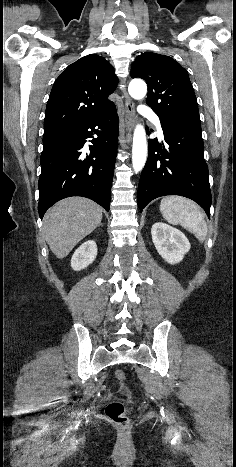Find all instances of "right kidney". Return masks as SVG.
I'll return each instance as SVG.
<instances>
[{
	"label": "right kidney",
	"mask_w": 236,
	"mask_h": 467,
	"mask_svg": "<svg viewBox=\"0 0 236 467\" xmlns=\"http://www.w3.org/2000/svg\"><path fill=\"white\" fill-rule=\"evenodd\" d=\"M96 256L97 245L93 240H88L74 252L71 258V267L75 271L82 270L91 264Z\"/></svg>",
	"instance_id": "obj_1"
}]
</instances>
